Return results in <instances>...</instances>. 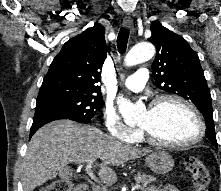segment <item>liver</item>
Returning <instances> with one entry per match:
<instances>
[{
	"mask_svg": "<svg viewBox=\"0 0 221 191\" xmlns=\"http://www.w3.org/2000/svg\"><path fill=\"white\" fill-rule=\"evenodd\" d=\"M148 149H137L107 136L90 125H78L69 120L46 124L31 138L22 164L23 191L56 178L69 162L101 164L98 175L101 182L111 185L117 181L111 166L120 165L147 155ZM92 163V164H93Z\"/></svg>",
	"mask_w": 221,
	"mask_h": 191,
	"instance_id": "1",
	"label": "liver"
}]
</instances>
